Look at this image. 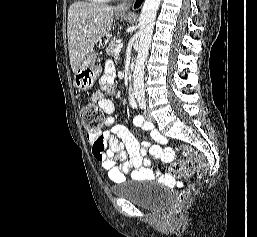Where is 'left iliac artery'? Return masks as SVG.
Returning a JSON list of instances; mask_svg holds the SVG:
<instances>
[{
	"instance_id": "1",
	"label": "left iliac artery",
	"mask_w": 257,
	"mask_h": 237,
	"mask_svg": "<svg viewBox=\"0 0 257 237\" xmlns=\"http://www.w3.org/2000/svg\"><path fill=\"white\" fill-rule=\"evenodd\" d=\"M139 105H140L141 109H146V104L144 101L139 102Z\"/></svg>"
}]
</instances>
